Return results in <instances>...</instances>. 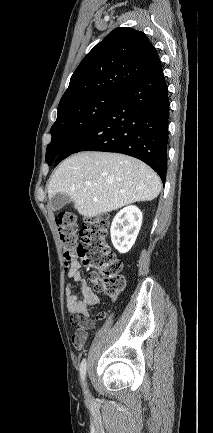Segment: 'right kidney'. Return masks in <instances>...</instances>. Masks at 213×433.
Returning <instances> with one entry per match:
<instances>
[{"label":"right kidney","instance_id":"ca27d5eb","mask_svg":"<svg viewBox=\"0 0 213 433\" xmlns=\"http://www.w3.org/2000/svg\"><path fill=\"white\" fill-rule=\"evenodd\" d=\"M142 224V212L136 206H127L114 217L111 228V241L119 253L128 252L134 245Z\"/></svg>","mask_w":213,"mask_h":433}]
</instances>
